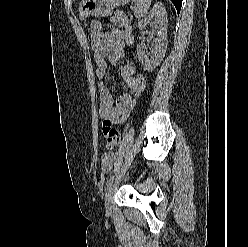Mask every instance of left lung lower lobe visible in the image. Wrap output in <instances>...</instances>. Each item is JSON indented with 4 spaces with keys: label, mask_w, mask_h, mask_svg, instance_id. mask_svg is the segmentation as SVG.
<instances>
[{
    "label": "left lung lower lobe",
    "mask_w": 248,
    "mask_h": 247,
    "mask_svg": "<svg viewBox=\"0 0 248 247\" xmlns=\"http://www.w3.org/2000/svg\"><path fill=\"white\" fill-rule=\"evenodd\" d=\"M176 7L177 12H180L182 6V0H171Z\"/></svg>",
    "instance_id": "1"
}]
</instances>
